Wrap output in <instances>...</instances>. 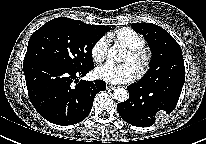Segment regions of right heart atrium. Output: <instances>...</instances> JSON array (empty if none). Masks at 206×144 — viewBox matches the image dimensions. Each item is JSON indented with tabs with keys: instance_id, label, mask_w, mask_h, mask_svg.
<instances>
[{
	"instance_id": "d8ad5b80",
	"label": "right heart atrium",
	"mask_w": 206,
	"mask_h": 144,
	"mask_svg": "<svg viewBox=\"0 0 206 144\" xmlns=\"http://www.w3.org/2000/svg\"><path fill=\"white\" fill-rule=\"evenodd\" d=\"M108 52V38L103 36L99 38L91 48V55L95 62L104 61Z\"/></svg>"
}]
</instances>
